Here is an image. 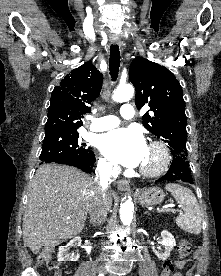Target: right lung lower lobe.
I'll return each instance as SVG.
<instances>
[{
  "label": "right lung lower lobe",
  "mask_w": 221,
  "mask_h": 276,
  "mask_svg": "<svg viewBox=\"0 0 221 276\" xmlns=\"http://www.w3.org/2000/svg\"><path fill=\"white\" fill-rule=\"evenodd\" d=\"M55 163H59V164H66V165H70V166H74V167H78L81 170H83L84 172H91L92 171V167L95 163V156L91 159H69V160H63V161H58Z\"/></svg>",
  "instance_id": "98d812e1"
}]
</instances>
